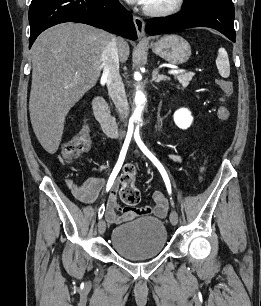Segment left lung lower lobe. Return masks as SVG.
Masks as SVG:
<instances>
[{
    "mask_svg": "<svg viewBox=\"0 0 261 306\" xmlns=\"http://www.w3.org/2000/svg\"><path fill=\"white\" fill-rule=\"evenodd\" d=\"M234 17L232 0H204L183 6V10L175 15L151 19L146 32L158 35L192 27H209L235 42Z\"/></svg>",
    "mask_w": 261,
    "mask_h": 306,
    "instance_id": "obj_1",
    "label": "left lung lower lobe"
}]
</instances>
